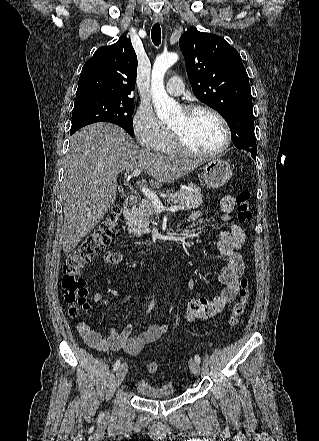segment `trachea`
<instances>
[{"instance_id":"3493384b","label":"trachea","mask_w":319,"mask_h":441,"mask_svg":"<svg viewBox=\"0 0 319 441\" xmlns=\"http://www.w3.org/2000/svg\"><path fill=\"white\" fill-rule=\"evenodd\" d=\"M151 38L155 46H159L161 43V27L159 23H155L151 29Z\"/></svg>"}]
</instances>
